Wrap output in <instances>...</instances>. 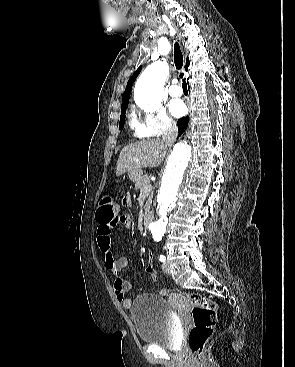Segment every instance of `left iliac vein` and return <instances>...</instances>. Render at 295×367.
<instances>
[{
    "instance_id": "obj_1",
    "label": "left iliac vein",
    "mask_w": 295,
    "mask_h": 367,
    "mask_svg": "<svg viewBox=\"0 0 295 367\" xmlns=\"http://www.w3.org/2000/svg\"><path fill=\"white\" fill-rule=\"evenodd\" d=\"M162 269L163 271L166 273V274H171V270H170V267H169V263L168 262H164L162 264Z\"/></svg>"
}]
</instances>
